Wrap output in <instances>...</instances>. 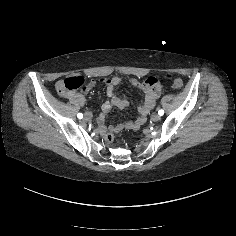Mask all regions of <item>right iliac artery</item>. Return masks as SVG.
I'll return each mask as SVG.
<instances>
[{"instance_id":"obj_1","label":"right iliac artery","mask_w":236,"mask_h":236,"mask_svg":"<svg viewBox=\"0 0 236 236\" xmlns=\"http://www.w3.org/2000/svg\"><path fill=\"white\" fill-rule=\"evenodd\" d=\"M77 117H78L79 119H82V118H83V114H82V113H78V114H77Z\"/></svg>"}]
</instances>
